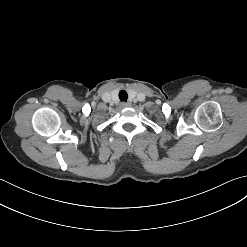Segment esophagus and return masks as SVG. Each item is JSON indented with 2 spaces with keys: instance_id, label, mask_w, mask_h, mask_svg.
<instances>
[{
  "instance_id": "1",
  "label": "esophagus",
  "mask_w": 247,
  "mask_h": 247,
  "mask_svg": "<svg viewBox=\"0 0 247 247\" xmlns=\"http://www.w3.org/2000/svg\"><path fill=\"white\" fill-rule=\"evenodd\" d=\"M121 106H122L123 108H125V107L130 106V103L122 102V103H121Z\"/></svg>"
}]
</instances>
